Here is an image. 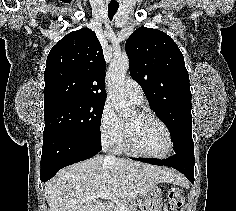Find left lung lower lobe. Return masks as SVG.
Instances as JSON below:
<instances>
[{
	"label": "left lung lower lobe",
	"instance_id": "0a47b994",
	"mask_svg": "<svg viewBox=\"0 0 236 211\" xmlns=\"http://www.w3.org/2000/svg\"><path fill=\"white\" fill-rule=\"evenodd\" d=\"M134 160L159 165V166H169L177 169L183 173L189 181L194 183V154L193 155H178L174 154L165 160L158 159H146V158H134Z\"/></svg>",
	"mask_w": 236,
	"mask_h": 211
}]
</instances>
